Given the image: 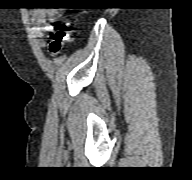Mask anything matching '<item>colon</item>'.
Returning <instances> with one entry per match:
<instances>
[{"label":"colon","mask_w":192,"mask_h":180,"mask_svg":"<svg viewBox=\"0 0 192 180\" xmlns=\"http://www.w3.org/2000/svg\"><path fill=\"white\" fill-rule=\"evenodd\" d=\"M71 27L69 23L58 25L50 37L49 52L52 56H57L64 48L65 42L69 39Z\"/></svg>","instance_id":"obj_1"}]
</instances>
